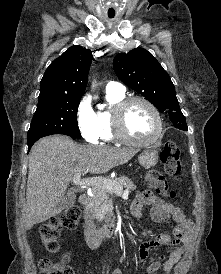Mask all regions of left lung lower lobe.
<instances>
[{"label": "left lung lower lobe", "mask_w": 221, "mask_h": 274, "mask_svg": "<svg viewBox=\"0 0 221 274\" xmlns=\"http://www.w3.org/2000/svg\"><path fill=\"white\" fill-rule=\"evenodd\" d=\"M179 129L184 130V131H187V128H179Z\"/></svg>", "instance_id": "obj_1"}]
</instances>
